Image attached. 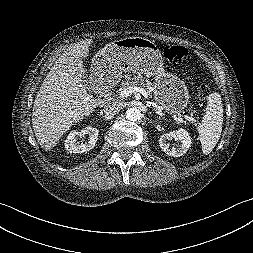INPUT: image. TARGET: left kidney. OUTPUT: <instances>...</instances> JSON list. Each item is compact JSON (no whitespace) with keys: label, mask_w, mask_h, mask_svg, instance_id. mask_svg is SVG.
<instances>
[{"label":"left kidney","mask_w":253,"mask_h":253,"mask_svg":"<svg viewBox=\"0 0 253 253\" xmlns=\"http://www.w3.org/2000/svg\"><path fill=\"white\" fill-rule=\"evenodd\" d=\"M175 139L179 143V145L175 148H170V145L168 143V140ZM191 138L189 136V133L183 129L180 128L179 130L172 131L170 133H166L160 136L159 138V145L160 148L170 156L174 157H180L183 154L187 152L189 147L191 146Z\"/></svg>","instance_id":"left-kidney-1"}]
</instances>
